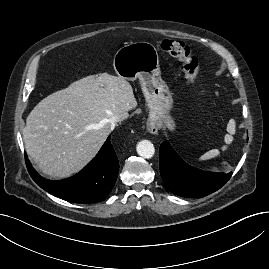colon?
I'll list each match as a JSON object with an SVG mask.
<instances>
[{
	"instance_id": "colon-1",
	"label": "colon",
	"mask_w": 269,
	"mask_h": 269,
	"mask_svg": "<svg viewBox=\"0 0 269 269\" xmlns=\"http://www.w3.org/2000/svg\"><path fill=\"white\" fill-rule=\"evenodd\" d=\"M156 43L161 50L180 62L181 74L186 79L187 84L195 88L199 70V60L196 55L193 54L192 49L185 43L173 39H161Z\"/></svg>"
}]
</instances>
